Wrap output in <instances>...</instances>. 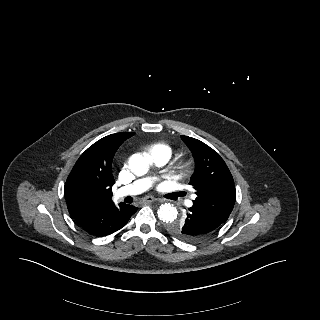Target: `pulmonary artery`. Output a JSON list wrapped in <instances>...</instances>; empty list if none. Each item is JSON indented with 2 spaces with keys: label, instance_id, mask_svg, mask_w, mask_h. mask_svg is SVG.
Returning a JSON list of instances; mask_svg holds the SVG:
<instances>
[{
  "label": "pulmonary artery",
  "instance_id": "e3ab8cb5",
  "mask_svg": "<svg viewBox=\"0 0 320 320\" xmlns=\"http://www.w3.org/2000/svg\"><path fill=\"white\" fill-rule=\"evenodd\" d=\"M170 155L165 152H155L149 155L150 162L156 167H162L169 161ZM153 180L151 178H142L133 183L118 189L115 193L116 198H122L129 195L140 194L151 187ZM192 202H188L191 206Z\"/></svg>",
  "mask_w": 320,
  "mask_h": 320
}]
</instances>
